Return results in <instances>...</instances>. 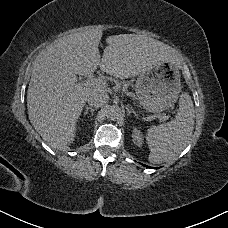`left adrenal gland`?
Segmentation results:
<instances>
[{
	"label": "left adrenal gland",
	"mask_w": 228,
	"mask_h": 228,
	"mask_svg": "<svg viewBox=\"0 0 228 228\" xmlns=\"http://www.w3.org/2000/svg\"><path fill=\"white\" fill-rule=\"evenodd\" d=\"M126 110H127V115H130L131 113H133L135 116H138V114L134 111L132 107L127 106Z\"/></svg>",
	"instance_id": "left-adrenal-gland-1"
}]
</instances>
